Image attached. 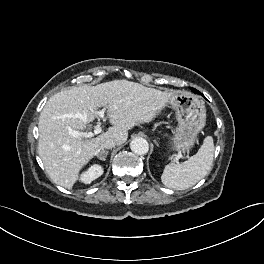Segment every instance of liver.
<instances>
[{"label": "liver", "instance_id": "obj_1", "mask_svg": "<svg viewBox=\"0 0 264 264\" xmlns=\"http://www.w3.org/2000/svg\"><path fill=\"white\" fill-rule=\"evenodd\" d=\"M172 95L127 80L72 87L53 95L38 124V153L50 179L71 189L80 170L100 152L103 140L111 138L123 144L128 139V130L151 122ZM99 108L107 110L112 127L94 138L70 135V131L85 130L95 120Z\"/></svg>", "mask_w": 264, "mask_h": 264}]
</instances>
